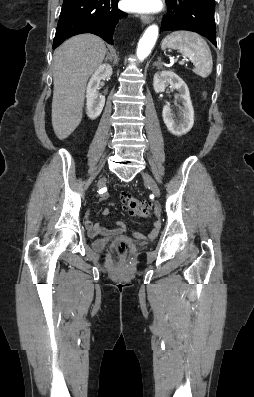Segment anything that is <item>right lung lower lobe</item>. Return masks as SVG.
Instances as JSON below:
<instances>
[{"label":"right lung lower lobe","instance_id":"98d812e1","mask_svg":"<svg viewBox=\"0 0 254 397\" xmlns=\"http://www.w3.org/2000/svg\"><path fill=\"white\" fill-rule=\"evenodd\" d=\"M119 0H64L53 49L71 36L92 33L113 44V34L128 14L117 7Z\"/></svg>","mask_w":254,"mask_h":397}]
</instances>
